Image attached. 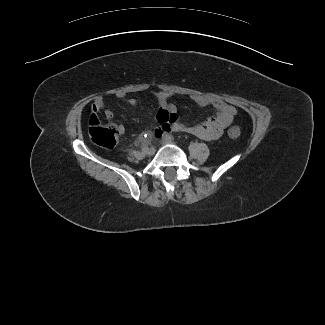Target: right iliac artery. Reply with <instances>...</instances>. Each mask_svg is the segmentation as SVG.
Listing matches in <instances>:
<instances>
[{"label": "right iliac artery", "instance_id": "obj_1", "mask_svg": "<svg viewBox=\"0 0 325 325\" xmlns=\"http://www.w3.org/2000/svg\"><path fill=\"white\" fill-rule=\"evenodd\" d=\"M147 150H148V146H147V145H144V146L142 147V151L146 153Z\"/></svg>", "mask_w": 325, "mask_h": 325}]
</instances>
